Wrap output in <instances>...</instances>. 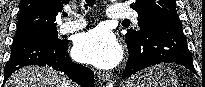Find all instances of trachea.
I'll return each instance as SVG.
<instances>
[{"mask_svg":"<svg viewBox=\"0 0 205 87\" xmlns=\"http://www.w3.org/2000/svg\"><path fill=\"white\" fill-rule=\"evenodd\" d=\"M95 3V0H86L85 7L87 8L88 6L92 7ZM64 16H67V13H64ZM124 22H128V20H124Z\"/></svg>","mask_w":205,"mask_h":87,"instance_id":"3493384b","label":"trachea"}]
</instances>
